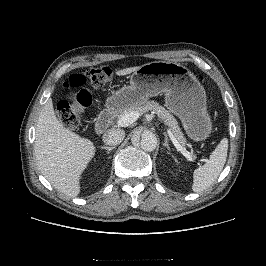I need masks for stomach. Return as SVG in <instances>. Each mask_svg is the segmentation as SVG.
I'll return each instance as SVG.
<instances>
[{
  "label": "stomach",
  "mask_w": 266,
  "mask_h": 266,
  "mask_svg": "<svg viewBox=\"0 0 266 266\" xmlns=\"http://www.w3.org/2000/svg\"><path fill=\"white\" fill-rule=\"evenodd\" d=\"M164 93L166 108L182 122L190 139L206 140L212 131L207 113L206 92L201 83L184 65L155 61L142 65L130 77V85L110 96L106 107L124 110L146 104L150 97Z\"/></svg>",
  "instance_id": "stomach-1"
}]
</instances>
